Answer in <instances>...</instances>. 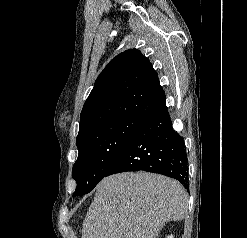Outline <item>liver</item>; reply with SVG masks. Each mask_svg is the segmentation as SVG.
Returning <instances> with one entry per match:
<instances>
[{
    "mask_svg": "<svg viewBox=\"0 0 247 238\" xmlns=\"http://www.w3.org/2000/svg\"><path fill=\"white\" fill-rule=\"evenodd\" d=\"M187 193L176 180L146 172L104 178L83 221L82 238H157L168 221H181Z\"/></svg>",
    "mask_w": 247,
    "mask_h": 238,
    "instance_id": "6515ba94",
    "label": "liver"
}]
</instances>
